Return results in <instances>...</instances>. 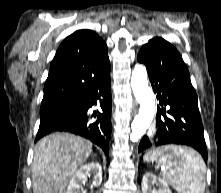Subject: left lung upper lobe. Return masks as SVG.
I'll return each mask as SVG.
<instances>
[{
    "label": "left lung upper lobe",
    "mask_w": 221,
    "mask_h": 193,
    "mask_svg": "<svg viewBox=\"0 0 221 193\" xmlns=\"http://www.w3.org/2000/svg\"><path fill=\"white\" fill-rule=\"evenodd\" d=\"M149 42H153V43L162 45V46H164V47H167V48H171V49L176 50L170 43H168L167 41H165V40L162 39V38H153V39H151ZM172 120L174 121L173 118H172Z\"/></svg>",
    "instance_id": "left-lung-upper-lobe-1"
}]
</instances>
